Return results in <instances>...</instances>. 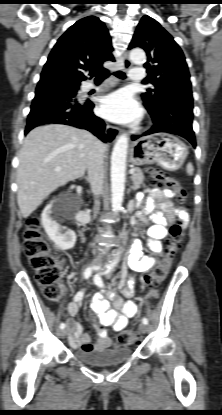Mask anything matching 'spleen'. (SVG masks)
<instances>
[{
    "label": "spleen",
    "mask_w": 222,
    "mask_h": 415,
    "mask_svg": "<svg viewBox=\"0 0 222 415\" xmlns=\"http://www.w3.org/2000/svg\"><path fill=\"white\" fill-rule=\"evenodd\" d=\"M186 171H187V174L188 175H192L193 174L194 169H193V166H192L191 163H188L187 164Z\"/></svg>",
    "instance_id": "1"
}]
</instances>
